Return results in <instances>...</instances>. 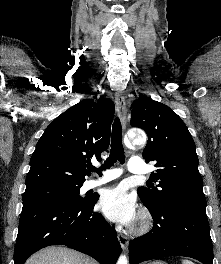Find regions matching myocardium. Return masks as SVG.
Masks as SVG:
<instances>
[{
	"label": "myocardium",
	"instance_id": "obj_1",
	"mask_svg": "<svg viewBox=\"0 0 221 264\" xmlns=\"http://www.w3.org/2000/svg\"><path fill=\"white\" fill-rule=\"evenodd\" d=\"M152 226V217L147 210H142L134 226V232L142 234L147 232Z\"/></svg>",
	"mask_w": 221,
	"mask_h": 264
}]
</instances>
